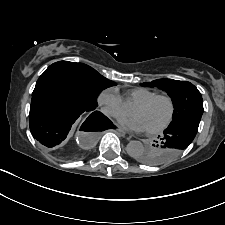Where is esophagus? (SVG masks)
Wrapping results in <instances>:
<instances>
[{"label": "esophagus", "instance_id": "esophagus-1", "mask_svg": "<svg viewBox=\"0 0 225 225\" xmlns=\"http://www.w3.org/2000/svg\"><path fill=\"white\" fill-rule=\"evenodd\" d=\"M115 132L118 135L123 136V137L126 135V132L122 128H120V127H116Z\"/></svg>", "mask_w": 225, "mask_h": 225}]
</instances>
